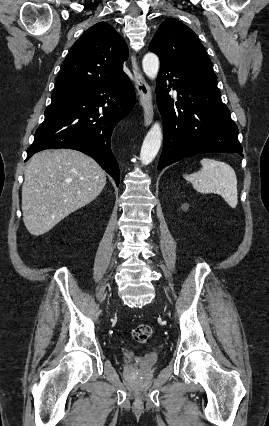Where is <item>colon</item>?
Instances as JSON below:
<instances>
[{
    "label": "colon",
    "mask_w": 269,
    "mask_h": 426,
    "mask_svg": "<svg viewBox=\"0 0 269 426\" xmlns=\"http://www.w3.org/2000/svg\"><path fill=\"white\" fill-rule=\"evenodd\" d=\"M152 335V329L147 324H138L132 330L133 339L138 343H146Z\"/></svg>",
    "instance_id": "colon-1"
}]
</instances>
